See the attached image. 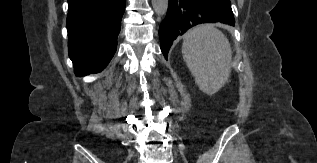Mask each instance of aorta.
Here are the masks:
<instances>
[{
    "mask_svg": "<svg viewBox=\"0 0 317 163\" xmlns=\"http://www.w3.org/2000/svg\"><path fill=\"white\" fill-rule=\"evenodd\" d=\"M169 0H152V6L155 13L159 16L166 14Z\"/></svg>",
    "mask_w": 317,
    "mask_h": 163,
    "instance_id": "1",
    "label": "aorta"
}]
</instances>
